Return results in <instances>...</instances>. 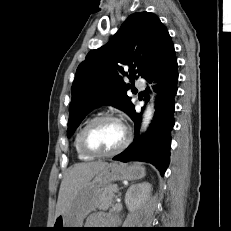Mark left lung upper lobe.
<instances>
[{"mask_svg":"<svg viewBox=\"0 0 231 231\" xmlns=\"http://www.w3.org/2000/svg\"><path fill=\"white\" fill-rule=\"evenodd\" d=\"M169 35L160 19L150 12L134 13L104 46L90 51L78 66L72 84L67 136L99 105H112L131 116L134 105L127 96L131 83L145 71Z\"/></svg>","mask_w":231,"mask_h":231,"instance_id":"1","label":"left lung upper lobe"}]
</instances>
